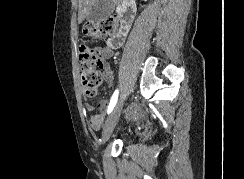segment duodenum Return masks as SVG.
I'll use <instances>...</instances> for the list:
<instances>
[{"mask_svg":"<svg viewBox=\"0 0 244 179\" xmlns=\"http://www.w3.org/2000/svg\"><path fill=\"white\" fill-rule=\"evenodd\" d=\"M117 14L119 19L123 21L124 26L129 27V23L134 19L136 14V1L122 0ZM120 36L123 37L122 35Z\"/></svg>","mask_w":244,"mask_h":179,"instance_id":"410a0bca","label":"duodenum"}]
</instances>
